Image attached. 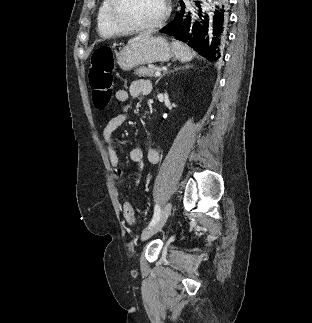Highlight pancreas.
<instances>
[{"label": "pancreas", "instance_id": "obj_1", "mask_svg": "<svg viewBox=\"0 0 312 323\" xmlns=\"http://www.w3.org/2000/svg\"><path fill=\"white\" fill-rule=\"evenodd\" d=\"M155 70H152V68H138V70H135L134 74H137V76H143V78H145V76H148V78H154L155 74H154Z\"/></svg>", "mask_w": 312, "mask_h": 323}]
</instances>
